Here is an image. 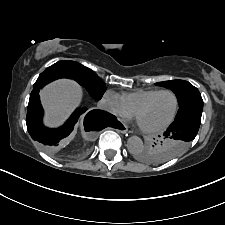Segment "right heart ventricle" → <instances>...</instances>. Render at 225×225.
Here are the masks:
<instances>
[{
    "label": "right heart ventricle",
    "instance_id": "obj_1",
    "mask_svg": "<svg viewBox=\"0 0 225 225\" xmlns=\"http://www.w3.org/2000/svg\"><path fill=\"white\" fill-rule=\"evenodd\" d=\"M158 91L159 89L156 88L138 89L136 91L122 95L121 98L128 110L134 114L135 110L140 104H142L147 98Z\"/></svg>",
    "mask_w": 225,
    "mask_h": 225
}]
</instances>
